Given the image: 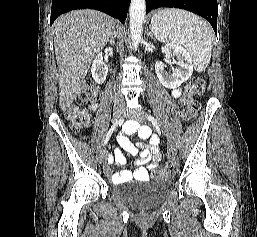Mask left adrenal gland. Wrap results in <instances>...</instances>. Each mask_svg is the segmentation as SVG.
I'll use <instances>...</instances> for the list:
<instances>
[{"instance_id": "a2214340", "label": "left adrenal gland", "mask_w": 257, "mask_h": 237, "mask_svg": "<svg viewBox=\"0 0 257 237\" xmlns=\"http://www.w3.org/2000/svg\"><path fill=\"white\" fill-rule=\"evenodd\" d=\"M152 39H154V36L152 34L151 28L149 29V34H148Z\"/></svg>"}]
</instances>
